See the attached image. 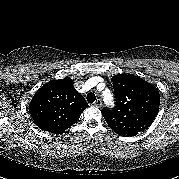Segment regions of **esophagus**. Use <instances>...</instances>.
<instances>
[{
  "label": "esophagus",
  "instance_id": "1",
  "mask_svg": "<svg viewBox=\"0 0 179 179\" xmlns=\"http://www.w3.org/2000/svg\"><path fill=\"white\" fill-rule=\"evenodd\" d=\"M94 105L97 106V107H101V105H102L101 99L98 98V99L94 102Z\"/></svg>",
  "mask_w": 179,
  "mask_h": 179
}]
</instances>
